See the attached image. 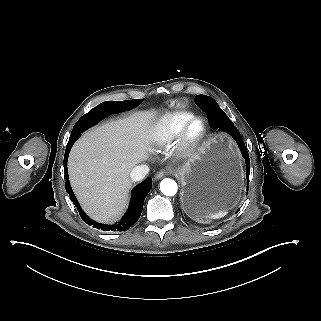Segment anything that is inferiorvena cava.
I'll list each match as a JSON object with an SVG mask.
<instances>
[{"label": "inferior vena cava", "instance_id": "602c4592", "mask_svg": "<svg viewBox=\"0 0 321 321\" xmlns=\"http://www.w3.org/2000/svg\"><path fill=\"white\" fill-rule=\"evenodd\" d=\"M149 172V167L147 165L136 166L130 172V178L133 181L142 180Z\"/></svg>", "mask_w": 321, "mask_h": 321}]
</instances>
